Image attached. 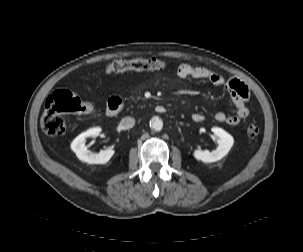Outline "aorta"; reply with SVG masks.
Here are the masks:
<instances>
[{
	"mask_svg": "<svg viewBox=\"0 0 303 252\" xmlns=\"http://www.w3.org/2000/svg\"><path fill=\"white\" fill-rule=\"evenodd\" d=\"M150 127L155 131H161L163 128V122L159 117H154L150 121Z\"/></svg>",
	"mask_w": 303,
	"mask_h": 252,
	"instance_id": "762f6f07",
	"label": "aorta"
}]
</instances>
